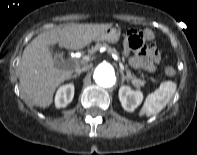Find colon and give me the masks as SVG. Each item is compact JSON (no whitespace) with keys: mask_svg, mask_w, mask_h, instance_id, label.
I'll list each match as a JSON object with an SVG mask.
<instances>
[{"mask_svg":"<svg viewBox=\"0 0 197 155\" xmlns=\"http://www.w3.org/2000/svg\"><path fill=\"white\" fill-rule=\"evenodd\" d=\"M128 46L131 50L144 53L148 51L147 41H152L148 32H142L137 29H131L127 34ZM169 76L174 75L175 70L172 67H167L165 70Z\"/></svg>","mask_w":197,"mask_h":155,"instance_id":"5ec220e1","label":"colon"}]
</instances>
